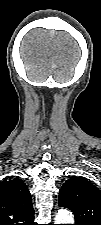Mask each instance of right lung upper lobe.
I'll return each instance as SVG.
<instances>
[{
	"label": "right lung upper lobe",
	"mask_w": 101,
	"mask_h": 225,
	"mask_svg": "<svg viewBox=\"0 0 101 225\" xmlns=\"http://www.w3.org/2000/svg\"><path fill=\"white\" fill-rule=\"evenodd\" d=\"M0 225H36L31 195L21 179L0 183Z\"/></svg>",
	"instance_id": "right-lung-upper-lobe-1"
}]
</instances>
